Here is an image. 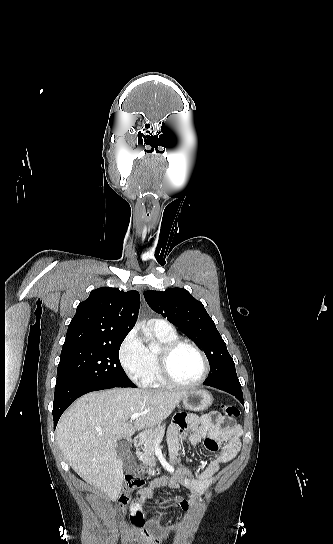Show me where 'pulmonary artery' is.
Masks as SVG:
<instances>
[{"instance_id":"pulmonary-artery-1","label":"pulmonary artery","mask_w":333,"mask_h":544,"mask_svg":"<svg viewBox=\"0 0 333 544\" xmlns=\"http://www.w3.org/2000/svg\"><path fill=\"white\" fill-rule=\"evenodd\" d=\"M149 324L160 331H172L174 330L172 325L163 319H150Z\"/></svg>"}]
</instances>
